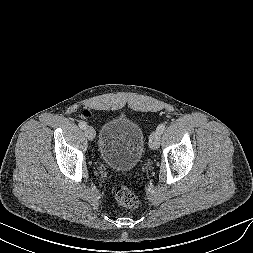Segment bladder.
<instances>
[{"mask_svg": "<svg viewBox=\"0 0 253 253\" xmlns=\"http://www.w3.org/2000/svg\"><path fill=\"white\" fill-rule=\"evenodd\" d=\"M144 146L143 130L126 116L107 120L98 135L99 157L115 171H132L141 159Z\"/></svg>", "mask_w": 253, "mask_h": 253, "instance_id": "obj_1", "label": "bladder"}]
</instances>
